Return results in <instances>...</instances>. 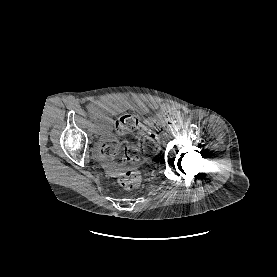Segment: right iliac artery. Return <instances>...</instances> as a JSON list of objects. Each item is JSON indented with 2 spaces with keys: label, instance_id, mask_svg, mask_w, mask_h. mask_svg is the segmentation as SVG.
Instances as JSON below:
<instances>
[{
  "label": "right iliac artery",
  "instance_id": "82829eb1",
  "mask_svg": "<svg viewBox=\"0 0 277 277\" xmlns=\"http://www.w3.org/2000/svg\"><path fill=\"white\" fill-rule=\"evenodd\" d=\"M92 127L94 129H98L99 128V125H98V123L95 120L93 121Z\"/></svg>",
  "mask_w": 277,
  "mask_h": 277
}]
</instances>
